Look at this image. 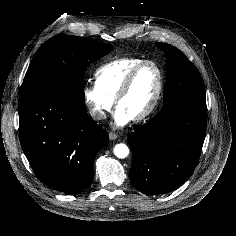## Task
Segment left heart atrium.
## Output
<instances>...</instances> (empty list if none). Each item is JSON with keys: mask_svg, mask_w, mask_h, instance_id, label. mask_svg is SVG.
Listing matches in <instances>:
<instances>
[{"mask_svg": "<svg viewBox=\"0 0 236 236\" xmlns=\"http://www.w3.org/2000/svg\"><path fill=\"white\" fill-rule=\"evenodd\" d=\"M132 120L131 116L121 108H117L113 116V125L115 127H123Z\"/></svg>", "mask_w": 236, "mask_h": 236, "instance_id": "1", "label": "left heart atrium"}]
</instances>
